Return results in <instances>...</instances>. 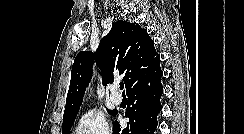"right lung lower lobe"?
I'll return each mask as SVG.
<instances>
[{
  "label": "right lung lower lobe",
  "mask_w": 244,
  "mask_h": 134,
  "mask_svg": "<svg viewBox=\"0 0 244 134\" xmlns=\"http://www.w3.org/2000/svg\"><path fill=\"white\" fill-rule=\"evenodd\" d=\"M162 74L155 79L131 89L128 93V107L125 116L130 120L122 128L115 120L113 134H154L157 115L161 111L160 98L163 93Z\"/></svg>",
  "instance_id": "1"
}]
</instances>
